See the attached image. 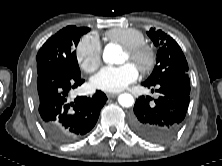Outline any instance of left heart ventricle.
<instances>
[{"label":"left heart ventricle","mask_w":222,"mask_h":166,"mask_svg":"<svg viewBox=\"0 0 222 166\" xmlns=\"http://www.w3.org/2000/svg\"><path fill=\"white\" fill-rule=\"evenodd\" d=\"M124 61H131L133 64H135V65L137 66V63L134 62V61H132V60L129 58V56H128L127 53H125V59H124Z\"/></svg>","instance_id":"obj_1"}]
</instances>
